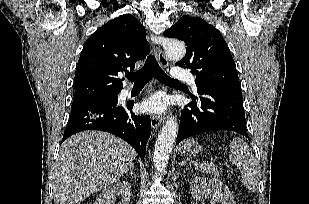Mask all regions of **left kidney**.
Segmentation results:
<instances>
[{"label": "left kidney", "instance_id": "obj_1", "mask_svg": "<svg viewBox=\"0 0 309 204\" xmlns=\"http://www.w3.org/2000/svg\"><path fill=\"white\" fill-rule=\"evenodd\" d=\"M194 199L202 200L213 193V200L221 204H236L228 187L216 178L195 177L190 183Z\"/></svg>", "mask_w": 309, "mask_h": 204}]
</instances>
